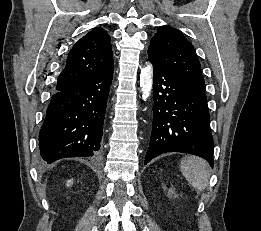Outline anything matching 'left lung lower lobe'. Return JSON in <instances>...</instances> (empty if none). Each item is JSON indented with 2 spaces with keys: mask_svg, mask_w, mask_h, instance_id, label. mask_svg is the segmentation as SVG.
Listing matches in <instances>:
<instances>
[{
  "mask_svg": "<svg viewBox=\"0 0 261 231\" xmlns=\"http://www.w3.org/2000/svg\"><path fill=\"white\" fill-rule=\"evenodd\" d=\"M153 122L147 164L166 152L198 155L213 166V138L206 97L190 91L153 62Z\"/></svg>",
  "mask_w": 261,
  "mask_h": 231,
  "instance_id": "0a47b994",
  "label": "left lung lower lobe"
}]
</instances>
